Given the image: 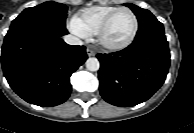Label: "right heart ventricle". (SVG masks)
I'll list each match as a JSON object with an SVG mask.
<instances>
[{
    "instance_id": "obj_1",
    "label": "right heart ventricle",
    "mask_w": 194,
    "mask_h": 133,
    "mask_svg": "<svg viewBox=\"0 0 194 133\" xmlns=\"http://www.w3.org/2000/svg\"><path fill=\"white\" fill-rule=\"evenodd\" d=\"M118 8L97 7L84 11L80 15V21L91 31H98L105 20Z\"/></svg>"
}]
</instances>
